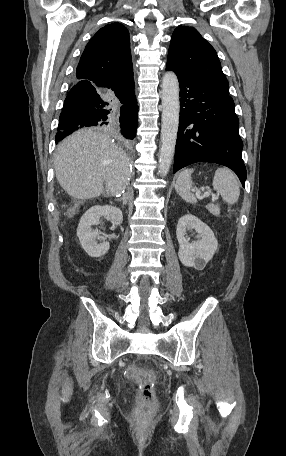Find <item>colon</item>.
<instances>
[{
	"label": "colon",
	"mask_w": 286,
	"mask_h": 456,
	"mask_svg": "<svg viewBox=\"0 0 286 456\" xmlns=\"http://www.w3.org/2000/svg\"><path fill=\"white\" fill-rule=\"evenodd\" d=\"M126 374L129 379L139 384L136 413H148L156 403V396L154 392V386L156 383L155 374L145 371L137 366H129Z\"/></svg>",
	"instance_id": "colon-1"
}]
</instances>
